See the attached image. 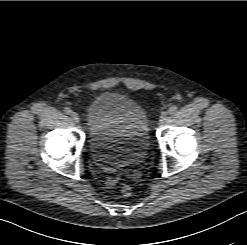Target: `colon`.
Masks as SVG:
<instances>
[{"mask_svg": "<svg viewBox=\"0 0 247 245\" xmlns=\"http://www.w3.org/2000/svg\"><path fill=\"white\" fill-rule=\"evenodd\" d=\"M121 193L123 196L128 197L132 194V188L128 184H123L121 186Z\"/></svg>", "mask_w": 247, "mask_h": 245, "instance_id": "colon-1", "label": "colon"}]
</instances>
